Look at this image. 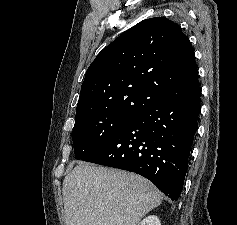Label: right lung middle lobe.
Wrapping results in <instances>:
<instances>
[{"label": "right lung middle lobe", "instance_id": "right-lung-middle-lobe-1", "mask_svg": "<svg viewBox=\"0 0 237 225\" xmlns=\"http://www.w3.org/2000/svg\"><path fill=\"white\" fill-rule=\"evenodd\" d=\"M136 114H102L75 121V159H82L122 130Z\"/></svg>", "mask_w": 237, "mask_h": 225}]
</instances>
